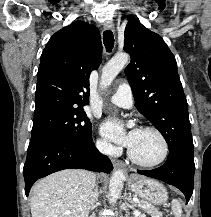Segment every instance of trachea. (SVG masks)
<instances>
[{
    "label": "trachea",
    "instance_id": "obj_1",
    "mask_svg": "<svg viewBox=\"0 0 211 217\" xmlns=\"http://www.w3.org/2000/svg\"><path fill=\"white\" fill-rule=\"evenodd\" d=\"M103 43L105 45L106 51L111 52L114 47V35L111 30H106L103 32Z\"/></svg>",
    "mask_w": 211,
    "mask_h": 217
}]
</instances>
